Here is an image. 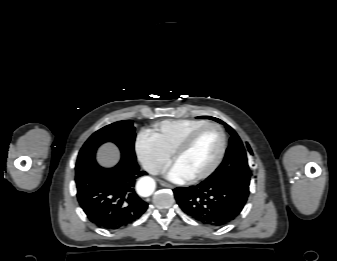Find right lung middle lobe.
I'll return each mask as SVG.
<instances>
[{
	"instance_id": "right-lung-middle-lobe-1",
	"label": "right lung middle lobe",
	"mask_w": 337,
	"mask_h": 261,
	"mask_svg": "<svg viewBox=\"0 0 337 261\" xmlns=\"http://www.w3.org/2000/svg\"><path fill=\"white\" fill-rule=\"evenodd\" d=\"M135 137V127L131 120L118 121L99 129L89 137L81 148L76 162V170L95 161L97 148L105 142L115 143L122 155L136 160Z\"/></svg>"
}]
</instances>
